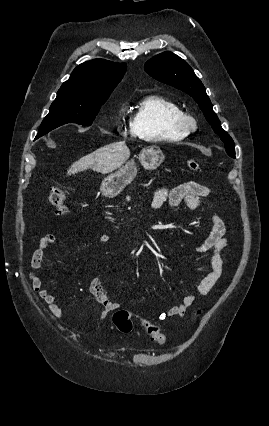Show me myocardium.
Here are the masks:
<instances>
[{
  "label": "myocardium",
  "instance_id": "myocardium-1",
  "mask_svg": "<svg viewBox=\"0 0 269 426\" xmlns=\"http://www.w3.org/2000/svg\"><path fill=\"white\" fill-rule=\"evenodd\" d=\"M173 125L180 131L188 134L196 129V119L189 113L180 112L173 118Z\"/></svg>",
  "mask_w": 269,
  "mask_h": 426
}]
</instances>
